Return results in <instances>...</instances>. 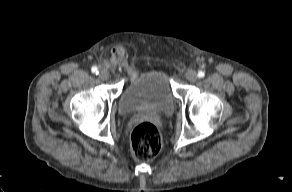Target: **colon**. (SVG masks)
Segmentation results:
<instances>
[{
	"label": "colon",
	"mask_w": 292,
	"mask_h": 192,
	"mask_svg": "<svg viewBox=\"0 0 292 192\" xmlns=\"http://www.w3.org/2000/svg\"><path fill=\"white\" fill-rule=\"evenodd\" d=\"M162 145L157 127L145 121L137 124L131 133L132 154L136 161L147 162L159 153Z\"/></svg>",
	"instance_id": "1"
}]
</instances>
